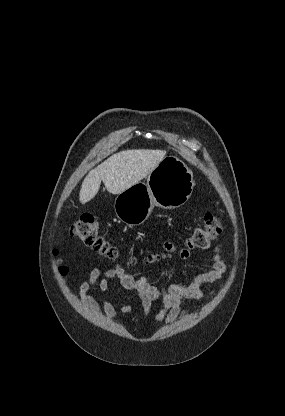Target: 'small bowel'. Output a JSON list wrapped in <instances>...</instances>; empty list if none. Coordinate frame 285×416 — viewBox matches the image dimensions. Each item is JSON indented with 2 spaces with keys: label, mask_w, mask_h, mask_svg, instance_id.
<instances>
[{
  "label": "small bowel",
  "mask_w": 285,
  "mask_h": 416,
  "mask_svg": "<svg viewBox=\"0 0 285 416\" xmlns=\"http://www.w3.org/2000/svg\"><path fill=\"white\" fill-rule=\"evenodd\" d=\"M167 252L177 253L182 259L189 257V250L176 248L168 242L162 244ZM226 262L222 257V247L214 249L213 268L198 274L189 283H170L157 286L145 276L136 278L127 273L120 265L106 269L104 272L99 267H94L89 275L80 284L75 296L94 314L100 317L115 319L118 315L116 306L107 298L110 289V282L118 279L121 286L134 292L141 301L145 315L150 312L154 302L162 304L161 309L154 317V322L159 324H171L179 317H187L189 310L183 308V304L197 302L204 298L203 286L211 283H221L226 272ZM89 293H93L90 295ZM215 293L212 292L209 296ZM118 307L124 314H130V305L119 302Z\"/></svg>",
  "instance_id": "small-bowel-1"
}]
</instances>
